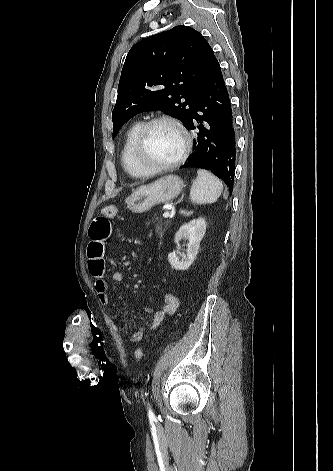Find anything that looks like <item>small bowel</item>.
Listing matches in <instances>:
<instances>
[{
    "label": "small bowel",
    "mask_w": 333,
    "mask_h": 471,
    "mask_svg": "<svg viewBox=\"0 0 333 471\" xmlns=\"http://www.w3.org/2000/svg\"><path fill=\"white\" fill-rule=\"evenodd\" d=\"M111 223L108 217L101 215L95 217L89 228L90 242L87 248L88 257V270L91 276L95 279L94 287L101 304L107 305L109 303L108 289L109 284L104 278L105 274V241L111 235ZM111 280L115 283H120L124 280V275L120 271H115L111 274ZM179 306V300L176 295L172 293H165L162 296V304L160 309L153 310L150 308L145 309L146 314L151 315L152 319L148 325L139 326L132 331L122 329L124 334L130 335L131 342L140 341L147 330H155L165 320L167 316L173 315Z\"/></svg>",
    "instance_id": "obj_1"
}]
</instances>
